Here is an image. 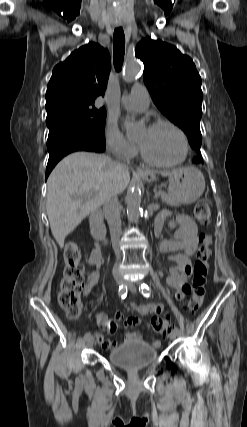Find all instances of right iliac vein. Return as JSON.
I'll use <instances>...</instances> for the list:
<instances>
[{
  "mask_svg": "<svg viewBox=\"0 0 247 427\" xmlns=\"http://www.w3.org/2000/svg\"><path fill=\"white\" fill-rule=\"evenodd\" d=\"M115 280H116V283L118 285H122L123 284V280H122L121 277H116ZM93 344H94V337L90 336L87 339V341H86V345H87L88 348H91L93 346Z\"/></svg>",
  "mask_w": 247,
  "mask_h": 427,
  "instance_id": "63e3f726",
  "label": "right iliac vein"
}]
</instances>
